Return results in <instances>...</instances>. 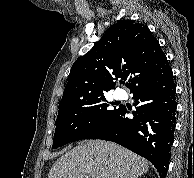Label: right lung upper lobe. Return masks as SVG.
I'll return each mask as SVG.
<instances>
[{"mask_svg":"<svg viewBox=\"0 0 194 178\" xmlns=\"http://www.w3.org/2000/svg\"><path fill=\"white\" fill-rule=\"evenodd\" d=\"M171 70L159 42L147 26L123 20L111 26L93 48L73 64L59 111L104 96L114 79H127L130 92Z\"/></svg>","mask_w":194,"mask_h":178,"instance_id":"right-lung-upper-lobe-1","label":"right lung upper lobe"}]
</instances>
